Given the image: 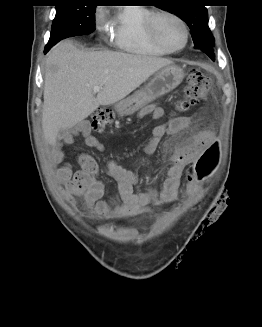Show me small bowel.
I'll use <instances>...</instances> for the list:
<instances>
[{"label":"small bowel","instance_id":"c3829d8e","mask_svg":"<svg viewBox=\"0 0 262 327\" xmlns=\"http://www.w3.org/2000/svg\"><path fill=\"white\" fill-rule=\"evenodd\" d=\"M139 117L149 116L152 119H165V110L157 104L143 108ZM191 120L187 116L165 119L162 124L155 127L148 142L144 146L147 154H152L157 149L161 139L165 135H176L187 130ZM76 135H81L88 146L99 151L104 145L92 134L91 127L87 122L79 123L75 129L64 137V143H72ZM213 136L208 131H200L188 137L174 151L169 160L166 177L158 189L137 193L134 187L139 182L137 172L120 166L115 160L107 163L109 175L117 183V191L108 200L103 199L104 184L98 178V165L89 154L79 156L80 169L73 171L67 163L62 164L56 170V180L63 186L61 191L70 204H75L76 198H80L84 212L90 217L102 219L127 218L144 213L151 205L170 203L177 199L183 171H192L193 165L197 164L196 153H204L205 148H210ZM64 159L62 149L55 150L53 162L61 164ZM185 193L188 199H201L202 193L196 192L197 185L195 173L185 174ZM204 203L202 200L199 202Z\"/></svg>","mask_w":262,"mask_h":327}]
</instances>
